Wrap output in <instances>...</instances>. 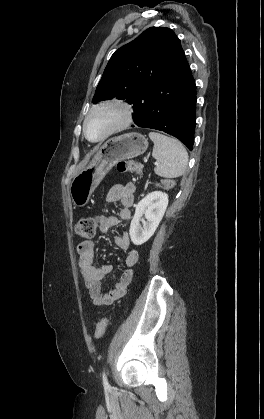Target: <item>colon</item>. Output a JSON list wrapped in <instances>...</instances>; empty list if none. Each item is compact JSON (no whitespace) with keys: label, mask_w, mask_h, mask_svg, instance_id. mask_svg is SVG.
Masks as SVG:
<instances>
[{"label":"colon","mask_w":264,"mask_h":419,"mask_svg":"<svg viewBox=\"0 0 264 419\" xmlns=\"http://www.w3.org/2000/svg\"><path fill=\"white\" fill-rule=\"evenodd\" d=\"M117 169L123 173H131V174H140L142 172V166L135 160H122L117 164ZM174 184L173 180L165 179L162 181L161 186L164 188H170ZM100 219L97 217H82L80 218L76 225L75 230L76 233L85 239H90L94 236L96 227L99 223ZM107 327V319L102 318L96 325L95 329V338L100 339L106 330Z\"/></svg>","instance_id":"5ec220e1"}]
</instances>
